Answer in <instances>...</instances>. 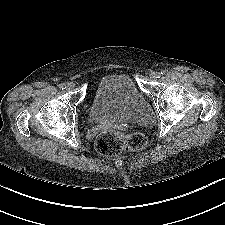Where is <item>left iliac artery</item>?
Returning <instances> with one entry per match:
<instances>
[{
  "mask_svg": "<svg viewBox=\"0 0 225 225\" xmlns=\"http://www.w3.org/2000/svg\"><path fill=\"white\" fill-rule=\"evenodd\" d=\"M165 74V70H163V71H161L160 73H159V77L161 76V75H164Z\"/></svg>",
  "mask_w": 225,
  "mask_h": 225,
  "instance_id": "left-iliac-artery-1",
  "label": "left iliac artery"
}]
</instances>
